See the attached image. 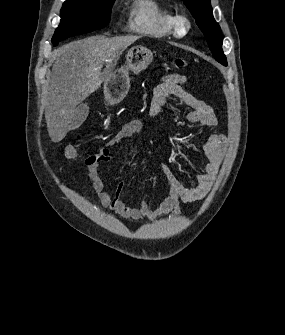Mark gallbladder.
<instances>
[{
    "label": "gallbladder",
    "instance_id": "1",
    "mask_svg": "<svg viewBox=\"0 0 285 335\" xmlns=\"http://www.w3.org/2000/svg\"><path fill=\"white\" fill-rule=\"evenodd\" d=\"M88 114L89 108L87 104H80V106H78L74 112L72 122L69 124V130H77V128H80L81 124L85 122Z\"/></svg>",
    "mask_w": 285,
    "mask_h": 335
}]
</instances>
